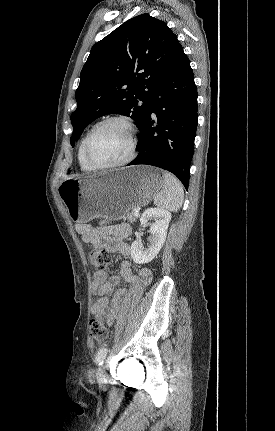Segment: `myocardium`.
Returning a JSON list of instances; mask_svg holds the SVG:
<instances>
[{
    "label": "myocardium",
    "instance_id": "f54148a6",
    "mask_svg": "<svg viewBox=\"0 0 275 431\" xmlns=\"http://www.w3.org/2000/svg\"><path fill=\"white\" fill-rule=\"evenodd\" d=\"M112 122H119V123L123 124L129 132L130 149H129L128 155L124 159H122L121 161H118L116 163L96 164L90 159L89 154H88L89 142H90L91 138L93 137V135L101 127H103L104 125H106L108 123H112ZM136 149H137V130H136V127L127 117L121 116V115L110 116V117H107V118L97 122L89 130V132L85 136V139L83 142V147H82L84 160L87 163V165L89 167H91L93 170H107V169H115V168L125 166V165L129 164L135 158Z\"/></svg>",
    "mask_w": 275,
    "mask_h": 431
}]
</instances>
